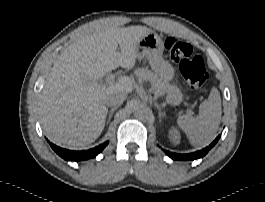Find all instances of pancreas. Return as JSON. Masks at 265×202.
Returning a JSON list of instances; mask_svg holds the SVG:
<instances>
[{"mask_svg": "<svg viewBox=\"0 0 265 202\" xmlns=\"http://www.w3.org/2000/svg\"><path fill=\"white\" fill-rule=\"evenodd\" d=\"M136 75L140 81H149L155 94L164 95L166 93V84L152 71L147 68H143L138 70Z\"/></svg>", "mask_w": 265, "mask_h": 202, "instance_id": "obj_1", "label": "pancreas"}]
</instances>
